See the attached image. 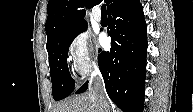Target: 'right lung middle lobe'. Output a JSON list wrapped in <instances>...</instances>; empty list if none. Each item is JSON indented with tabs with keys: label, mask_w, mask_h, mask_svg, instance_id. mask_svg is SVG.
Wrapping results in <instances>:
<instances>
[{
	"label": "right lung middle lobe",
	"mask_w": 193,
	"mask_h": 112,
	"mask_svg": "<svg viewBox=\"0 0 193 112\" xmlns=\"http://www.w3.org/2000/svg\"><path fill=\"white\" fill-rule=\"evenodd\" d=\"M86 28L87 25H82L67 29L47 44L54 100L64 99L74 91L75 83L67 66L68 49L74 38Z\"/></svg>",
	"instance_id": "right-lung-middle-lobe-1"
}]
</instances>
